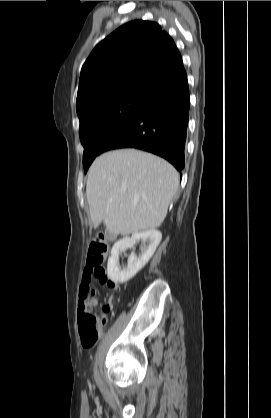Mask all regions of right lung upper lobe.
<instances>
[{
    "label": "right lung upper lobe",
    "mask_w": 271,
    "mask_h": 418,
    "mask_svg": "<svg viewBox=\"0 0 271 418\" xmlns=\"http://www.w3.org/2000/svg\"><path fill=\"white\" fill-rule=\"evenodd\" d=\"M185 72L173 39L155 22H129L104 40L84 63L76 109L122 95L152 99Z\"/></svg>",
    "instance_id": "1"
}]
</instances>
